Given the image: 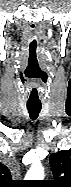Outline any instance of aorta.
<instances>
[{"mask_svg": "<svg viewBox=\"0 0 71 187\" xmlns=\"http://www.w3.org/2000/svg\"><path fill=\"white\" fill-rule=\"evenodd\" d=\"M26 178L29 180H43L44 168L39 163H34L26 174Z\"/></svg>", "mask_w": 71, "mask_h": 187, "instance_id": "762f6f07", "label": "aorta"}]
</instances>
